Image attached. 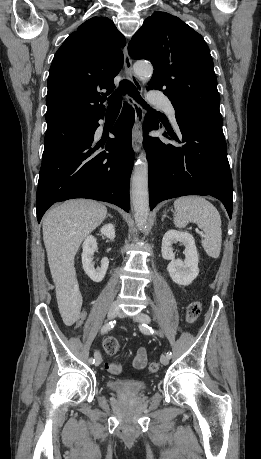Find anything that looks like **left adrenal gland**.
<instances>
[{
	"label": "left adrenal gland",
	"instance_id": "a2214340",
	"mask_svg": "<svg viewBox=\"0 0 261 459\" xmlns=\"http://www.w3.org/2000/svg\"><path fill=\"white\" fill-rule=\"evenodd\" d=\"M166 217H168V216L166 215V212H164V215H163V217H162V222L164 221V219H165ZM168 218H169V217H168Z\"/></svg>",
	"mask_w": 261,
	"mask_h": 459
}]
</instances>
